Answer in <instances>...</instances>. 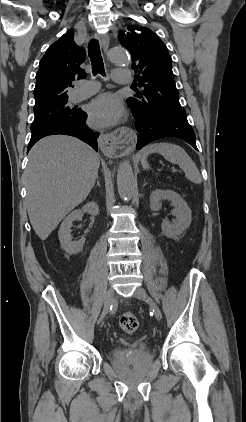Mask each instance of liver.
Here are the masks:
<instances>
[{"instance_id":"obj_1","label":"liver","mask_w":246,"mask_h":422,"mask_svg":"<svg viewBox=\"0 0 246 422\" xmlns=\"http://www.w3.org/2000/svg\"><path fill=\"white\" fill-rule=\"evenodd\" d=\"M24 173L30 223L46 240L61 220L82 203L95 184L99 155L79 139L48 136L30 150Z\"/></svg>"}]
</instances>
